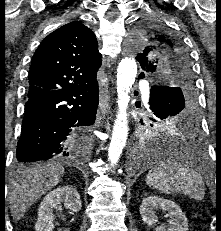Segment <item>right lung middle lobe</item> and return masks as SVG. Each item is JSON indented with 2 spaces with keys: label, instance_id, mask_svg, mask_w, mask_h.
<instances>
[{
  "label": "right lung middle lobe",
  "instance_id": "right-lung-middle-lobe-1",
  "mask_svg": "<svg viewBox=\"0 0 221 231\" xmlns=\"http://www.w3.org/2000/svg\"><path fill=\"white\" fill-rule=\"evenodd\" d=\"M89 130H90V128H87V129H86L87 138H89V133H90V131H89Z\"/></svg>",
  "mask_w": 221,
  "mask_h": 231
}]
</instances>
